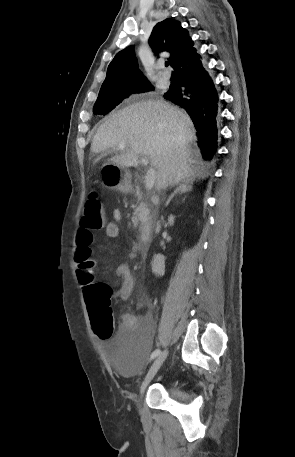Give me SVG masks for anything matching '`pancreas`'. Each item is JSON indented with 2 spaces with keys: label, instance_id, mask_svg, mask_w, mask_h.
Masks as SVG:
<instances>
[{
  "label": "pancreas",
  "instance_id": "obj_1",
  "mask_svg": "<svg viewBox=\"0 0 295 457\" xmlns=\"http://www.w3.org/2000/svg\"><path fill=\"white\" fill-rule=\"evenodd\" d=\"M132 207L134 209L132 222H133V225L135 227H137L140 222H145L147 220L145 206H144L143 203H140L138 206L137 205H133Z\"/></svg>",
  "mask_w": 295,
  "mask_h": 457
}]
</instances>
